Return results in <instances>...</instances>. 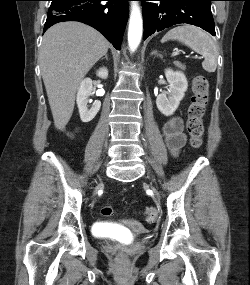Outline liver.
Listing matches in <instances>:
<instances>
[{
	"mask_svg": "<svg viewBox=\"0 0 250 285\" xmlns=\"http://www.w3.org/2000/svg\"><path fill=\"white\" fill-rule=\"evenodd\" d=\"M108 48L103 35L82 23H59L45 32L39 63L56 129L69 122L80 83Z\"/></svg>",
	"mask_w": 250,
	"mask_h": 285,
	"instance_id": "1",
	"label": "liver"
}]
</instances>
